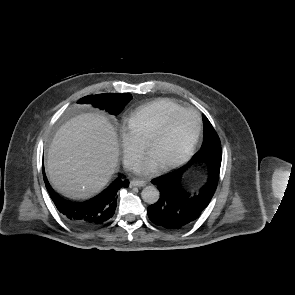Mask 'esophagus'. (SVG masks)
<instances>
[{
	"instance_id": "34e87169",
	"label": "esophagus",
	"mask_w": 295,
	"mask_h": 295,
	"mask_svg": "<svg viewBox=\"0 0 295 295\" xmlns=\"http://www.w3.org/2000/svg\"><path fill=\"white\" fill-rule=\"evenodd\" d=\"M130 185H131V186H137V187H143V186L146 185V182L143 181V180L133 179V180L130 182Z\"/></svg>"
}]
</instances>
